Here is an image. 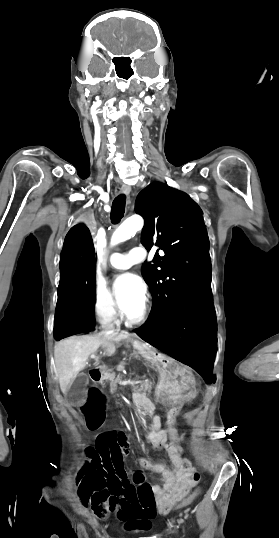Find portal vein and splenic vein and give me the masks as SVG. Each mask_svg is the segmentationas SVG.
I'll return each mask as SVG.
<instances>
[{
  "label": "portal vein and splenic vein",
  "instance_id": "obj_1",
  "mask_svg": "<svg viewBox=\"0 0 279 538\" xmlns=\"http://www.w3.org/2000/svg\"><path fill=\"white\" fill-rule=\"evenodd\" d=\"M91 358L96 359L97 353L95 351H92L90 353ZM135 383H146V380H124L122 382V385H135Z\"/></svg>",
  "mask_w": 279,
  "mask_h": 538
}]
</instances>
